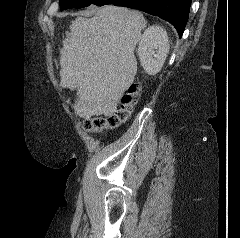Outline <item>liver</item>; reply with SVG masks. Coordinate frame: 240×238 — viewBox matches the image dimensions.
<instances>
[{
	"instance_id": "obj_1",
	"label": "liver",
	"mask_w": 240,
	"mask_h": 238,
	"mask_svg": "<svg viewBox=\"0 0 240 238\" xmlns=\"http://www.w3.org/2000/svg\"><path fill=\"white\" fill-rule=\"evenodd\" d=\"M145 26L142 13L113 5L72 21L60 50V86L77 89V115L90 119L116 112L134 82V49Z\"/></svg>"
}]
</instances>
